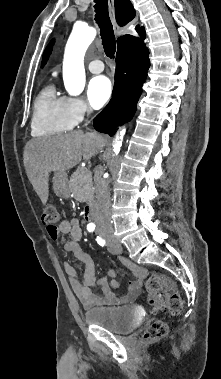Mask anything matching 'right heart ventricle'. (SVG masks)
Listing matches in <instances>:
<instances>
[{
    "label": "right heart ventricle",
    "instance_id": "e07e8e85",
    "mask_svg": "<svg viewBox=\"0 0 221 379\" xmlns=\"http://www.w3.org/2000/svg\"><path fill=\"white\" fill-rule=\"evenodd\" d=\"M75 122L69 114L64 97L53 86L45 87L36 97L31 119L34 136H50L71 130Z\"/></svg>",
    "mask_w": 221,
    "mask_h": 379
}]
</instances>
